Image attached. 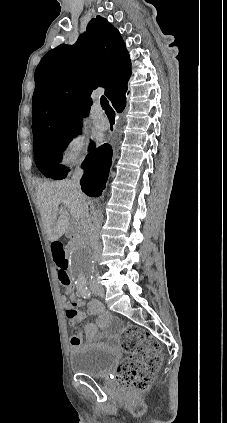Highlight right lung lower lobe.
<instances>
[{"instance_id": "obj_1", "label": "right lung lower lobe", "mask_w": 227, "mask_h": 423, "mask_svg": "<svg viewBox=\"0 0 227 423\" xmlns=\"http://www.w3.org/2000/svg\"><path fill=\"white\" fill-rule=\"evenodd\" d=\"M126 105V99L114 105L115 110L120 113ZM90 153L86 156L82 167L84 176L80 180L82 191L91 197H98L105 189V183L112 162V148L109 144H104L98 148L90 145Z\"/></svg>"}]
</instances>
